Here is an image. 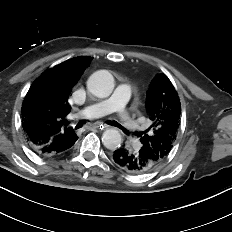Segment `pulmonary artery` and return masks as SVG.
Returning a JSON list of instances; mask_svg holds the SVG:
<instances>
[{"label":"pulmonary artery","instance_id":"1","mask_svg":"<svg viewBox=\"0 0 232 232\" xmlns=\"http://www.w3.org/2000/svg\"><path fill=\"white\" fill-rule=\"evenodd\" d=\"M131 94L132 90L128 84H120L110 98L86 106L79 114L85 117H99L113 111H119L121 112V124L129 131L135 132L138 128V122L125 111V106ZM137 147L139 146L137 145Z\"/></svg>","mask_w":232,"mask_h":232}]
</instances>
